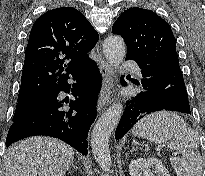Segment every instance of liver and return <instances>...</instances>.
I'll return each instance as SVG.
<instances>
[{
  "label": "liver",
  "mask_w": 205,
  "mask_h": 176,
  "mask_svg": "<svg viewBox=\"0 0 205 176\" xmlns=\"http://www.w3.org/2000/svg\"><path fill=\"white\" fill-rule=\"evenodd\" d=\"M73 158L74 149L58 139L29 137L9 149L5 176H64Z\"/></svg>",
  "instance_id": "1"
}]
</instances>
